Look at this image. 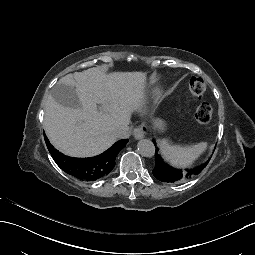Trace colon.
I'll return each instance as SVG.
<instances>
[{
    "label": "colon",
    "instance_id": "colon-1",
    "mask_svg": "<svg viewBox=\"0 0 255 255\" xmlns=\"http://www.w3.org/2000/svg\"><path fill=\"white\" fill-rule=\"evenodd\" d=\"M188 90L192 98H199L206 90V83L202 78L192 77L189 81ZM212 113V106L208 102H203L195 110V119L200 124H206L210 121Z\"/></svg>",
    "mask_w": 255,
    "mask_h": 255
}]
</instances>
